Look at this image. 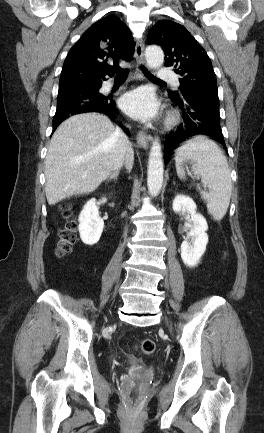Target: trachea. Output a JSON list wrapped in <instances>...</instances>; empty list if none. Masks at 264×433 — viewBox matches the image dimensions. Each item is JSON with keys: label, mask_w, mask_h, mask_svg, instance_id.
<instances>
[{"label": "trachea", "mask_w": 264, "mask_h": 433, "mask_svg": "<svg viewBox=\"0 0 264 433\" xmlns=\"http://www.w3.org/2000/svg\"><path fill=\"white\" fill-rule=\"evenodd\" d=\"M143 72L145 74V76L150 79V80H154V81H159V82H163L162 80H160L159 78L155 77L153 74H151L149 71H147L146 69H143ZM128 76V72H123L118 74L116 77L117 78H126Z\"/></svg>", "instance_id": "1"}]
</instances>
